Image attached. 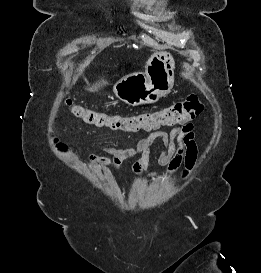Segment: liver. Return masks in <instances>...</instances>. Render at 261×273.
Instances as JSON below:
<instances>
[{"mask_svg":"<svg viewBox=\"0 0 261 273\" xmlns=\"http://www.w3.org/2000/svg\"><path fill=\"white\" fill-rule=\"evenodd\" d=\"M106 84H107V82L102 80V82L96 83L95 85H93V87L87 88V90L90 92H95V91H98V89L100 87H102L103 85H106Z\"/></svg>","mask_w":261,"mask_h":273,"instance_id":"liver-1","label":"liver"}]
</instances>
